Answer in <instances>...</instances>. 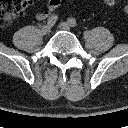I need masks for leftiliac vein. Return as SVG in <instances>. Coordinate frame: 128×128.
<instances>
[{"label":"left iliac vein","instance_id":"1","mask_svg":"<svg viewBox=\"0 0 128 128\" xmlns=\"http://www.w3.org/2000/svg\"><path fill=\"white\" fill-rule=\"evenodd\" d=\"M59 28L62 30L70 31L71 27L67 22H61Z\"/></svg>","mask_w":128,"mask_h":128}]
</instances>
